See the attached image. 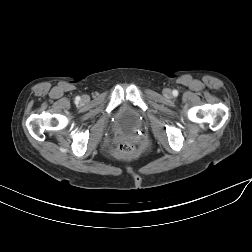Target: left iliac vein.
Wrapping results in <instances>:
<instances>
[{
    "instance_id": "4c4485c4",
    "label": "left iliac vein",
    "mask_w": 252,
    "mask_h": 252,
    "mask_svg": "<svg viewBox=\"0 0 252 252\" xmlns=\"http://www.w3.org/2000/svg\"><path fill=\"white\" fill-rule=\"evenodd\" d=\"M164 95L170 96L171 95V90L169 88L164 89Z\"/></svg>"
}]
</instances>
